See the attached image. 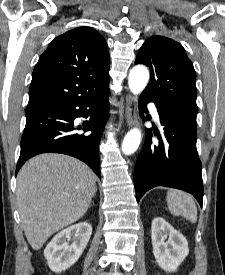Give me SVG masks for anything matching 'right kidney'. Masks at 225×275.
Masks as SVG:
<instances>
[{
	"instance_id": "ca27d5eb",
	"label": "right kidney",
	"mask_w": 225,
	"mask_h": 275,
	"mask_svg": "<svg viewBox=\"0 0 225 275\" xmlns=\"http://www.w3.org/2000/svg\"><path fill=\"white\" fill-rule=\"evenodd\" d=\"M91 234L92 227L87 222H80L60 231L44 250L49 268L55 273L70 268L82 255Z\"/></svg>"
}]
</instances>
